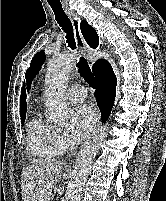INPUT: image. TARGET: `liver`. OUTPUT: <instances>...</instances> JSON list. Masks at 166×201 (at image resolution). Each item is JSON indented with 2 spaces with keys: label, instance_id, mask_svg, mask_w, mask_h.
Returning a JSON list of instances; mask_svg holds the SVG:
<instances>
[{
  "label": "liver",
  "instance_id": "1",
  "mask_svg": "<svg viewBox=\"0 0 166 201\" xmlns=\"http://www.w3.org/2000/svg\"><path fill=\"white\" fill-rule=\"evenodd\" d=\"M62 169V162L53 161L26 167L21 176L22 201H50Z\"/></svg>",
  "mask_w": 166,
  "mask_h": 201
}]
</instances>
